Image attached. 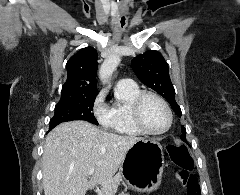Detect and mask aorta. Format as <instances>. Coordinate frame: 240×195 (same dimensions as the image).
<instances>
[{
  "label": "aorta",
  "instance_id": "obj_1",
  "mask_svg": "<svg viewBox=\"0 0 240 195\" xmlns=\"http://www.w3.org/2000/svg\"><path fill=\"white\" fill-rule=\"evenodd\" d=\"M121 62L120 56H108L105 58L103 64H101L98 72L99 80L103 82V84H109V80L115 72L116 68H118Z\"/></svg>",
  "mask_w": 240,
  "mask_h": 195
}]
</instances>
